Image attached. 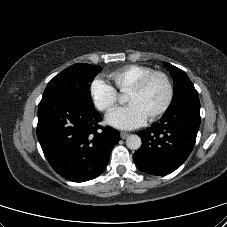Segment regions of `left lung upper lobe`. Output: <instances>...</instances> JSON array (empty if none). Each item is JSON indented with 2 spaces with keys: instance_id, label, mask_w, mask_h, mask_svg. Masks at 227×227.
<instances>
[{
  "instance_id": "obj_1",
  "label": "left lung upper lobe",
  "mask_w": 227,
  "mask_h": 227,
  "mask_svg": "<svg viewBox=\"0 0 227 227\" xmlns=\"http://www.w3.org/2000/svg\"><path fill=\"white\" fill-rule=\"evenodd\" d=\"M163 64L169 70L174 80V95L168 109L186 98L198 97V92L183 70L166 62H163Z\"/></svg>"
}]
</instances>
